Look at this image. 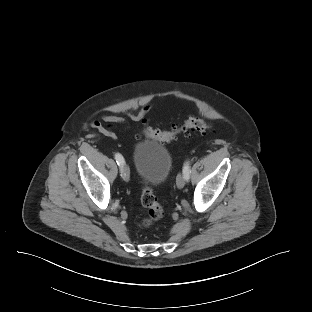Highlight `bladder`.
<instances>
[{"instance_id":"1","label":"bladder","mask_w":312,"mask_h":312,"mask_svg":"<svg viewBox=\"0 0 312 312\" xmlns=\"http://www.w3.org/2000/svg\"><path fill=\"white\" fill-rule=\"evenodd\" d=\"M133 161L138 176L144 182L155 186L161 185L167 179L172 165L168 149L153 141L136 143Z\"/></svg>"}]
</instances>
